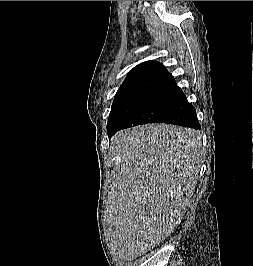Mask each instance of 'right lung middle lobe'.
Instances as JSON below:
<instances>
[{
	"label": "right lung middle lobe",
	"mask_w": 253,
	"mask_h": 266,
	"mask_svg": "<svg viewBox=\"0 0 253 266\" xmlns=\"http://www.w3.org/2000/svg\"><path fill=\"white\" fill-rule=\"evenodd\" d=\"M174 89L156 86L114 99L107 125L122 122L131 127L159 121L170 108Z\"/></svg>",
	"instance_id": "dd1d6c3e"
}]
</instances>
